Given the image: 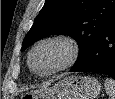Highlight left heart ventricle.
<instances>
[{"instance_id":"obj_1","label":"left heart ventricle","mask_w":115,"mask_h":99,"mask_svg":"<svg viewBox=\"0 0 115 99\" xmlns=\"http://www.w3.org/2000/svg\"><path fill=\"white\" fill-rule=\"evenodd\" d=\"M69 51L62 43H47L40 46L33 55V66L39 72H48L63 64Z\"/></svg>"}]
</instances>
